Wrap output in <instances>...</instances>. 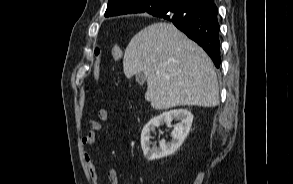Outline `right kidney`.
<instances>
[{"mask_svg":"<svg viewBox=\"0 0 293 184\" xmlns=\"http://www.w3.org/2000/svg\"><path fill=\"white\" fill-rule=\"evenodd\" d=\"M173 120L179 121L174 125L172 140L168 143L160 141L159 148H150V135L163 124H171ZM193 121V115L187 109H176L163 112L152 118L143 128L141 133V147L147 160L153 161L174 154L187 137Z\"/></svg>","mask_w":293,"mask_h":184,"instance_id":"right-kidney-1","label":"right kidney"}]
</instances>
